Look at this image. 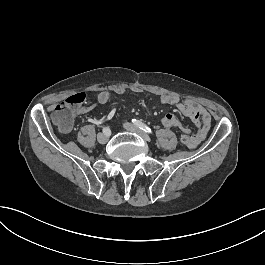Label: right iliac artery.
<instances>
[{"label": "right iliac artery", "instance_id": "right-iliac-artery-1", "mask_svg": "<svg viewBox=\"0 0 265 265\" xmlns=\"http://www.w3.org/2000/svg\"><path fill=\"white\" fill-rule=\"evenodd\" d=\"M103 133L110 135L111 131L109 128L105 127V128H103Z\"/></svg>", "mask_w": 265, "mask_h": 265}]
</instances>
